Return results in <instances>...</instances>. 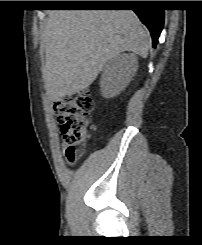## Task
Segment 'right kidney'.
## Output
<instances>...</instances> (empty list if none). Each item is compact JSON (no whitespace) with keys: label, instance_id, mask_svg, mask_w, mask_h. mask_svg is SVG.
<instances>
[{"label":"right kidney","instance_id":"right-kidney-1","mask_svg":"<svg viewBox=\"0 0 202 245\" xmlns=\"http://www.w3.org/2000/svg\"><path fill=\"white\" fill-rule=\"evenodd\" d=\"M137 67L138 58L135 54H119L110 59L101 75L102 95L105 98L118 95L128 85Z\"/></svg>","mask_w":202,"mask_h":245}]
</instances>
